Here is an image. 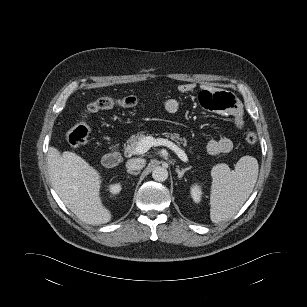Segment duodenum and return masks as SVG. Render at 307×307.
I'll return each instance as SVG.
<instances>
[{
  "instance_id": "1",
  "label": "duodenum",
  "mask_w": 307,
  "mask_h": 307,
  "mask_svg": "<svg viewBox=\"0 0 307 307\" xmlns=\"http://www.w3.org/2000/svg\"><path fill=\"white\" fill-rule=\"evenodd\" d=\"M121 158V153L118 150H113L103 156L102 163L106 168H114L119 165Z\"/></svg>"
}]
</instances>
